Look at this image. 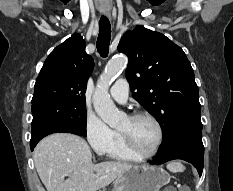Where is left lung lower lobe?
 <instances>
[{
    "mask_svg": "<svg viewBox=\"0 0 233 191\" xmlns=\"http://www.w3.org/2000/svg\"><path fill=\"white\" fill-rule=\"evenodd\" d=\"M174 159L191 163L202 175L204 160L202 129H189L179 133L167 145L160 148L158 157L150 163L160 165Z\"/></svg>",
    "mask_w": 233,
    "mask_h": 191,
    "instance_id": "1",
    "label": "left lung lower lobe"
}]
</instances>
